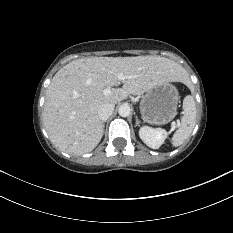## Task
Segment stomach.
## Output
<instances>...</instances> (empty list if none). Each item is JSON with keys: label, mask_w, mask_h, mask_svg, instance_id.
<instances>
[{"label": "stomach", "mask_w": 233, "mask_h": 233, "mask_svg": "<svg viewBox=\"0 0 233 233\" xmlns=\"http://www.w3.org/2000/svg\"><path fill=\"white\" fill-rule=\"evenodd\" d=\"M177 104V89L167 82L156 85L145 93L140 103V113L146 122L163 125L175 117Z\"/></svg>", "instance_id": "1"}]
</instances>
